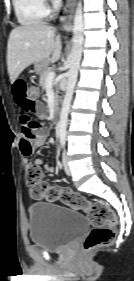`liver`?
Segmentation results:
<instances>
[{
  "instance_id": "6515ba94",
  "label": "liver",
  "mask_w": 134,
  "mask_h": 281,
  "mask_svg": "<svg viewBox=\"0 0 134 281\" xmlns=\"http://www.w3.org/2000/svg\"><path fill=\"white\" fill-rule=\"evenodd\" d=\"M55 28L32 22L14 28L7 45V67L13 83L28 66L39 62H56L61 55V38ZM52 54V57L50 55Z\"/></svg>"
}]
</instances>
